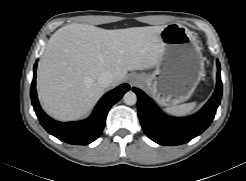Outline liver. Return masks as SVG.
I'll return each instance as SVG.
<instances>
[{"mask_svg": "<svg viewBox=\"0 0 246 181\" xmlns=\"http://www.w3.org/2000/svg\"><path fill=\"white\" fill-rule=\"evenodd\" d=\"M164 26L106 30L72 23L49 39L38 66L37 91L45 111L60 121L81 118L99 100L97 82L108 70L118 85L128 71L155 66L162 54Z\"/></svg>", "mask_w": 246, "mask_h": 181, "instance_id": "obj_1", "label": "liver"}]
</instances>
